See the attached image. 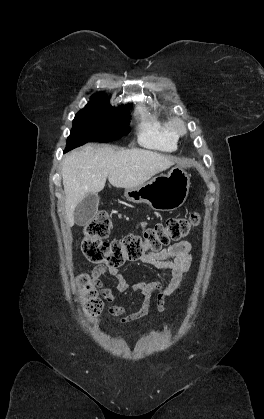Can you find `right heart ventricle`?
Here are the masks:
<instances>
[{
  "instance_id": "right-heart-ventricle-1",
  "label": "right heart ventricle",
  "mask_w": 264,
  "mask_h": 419,
  "mask_svg": "<svg viewBox=\"0 0 264 419\" xmlns=\"http://www.w3.org/2000/svg\"><path fill=\"white\" fill-rule=\"evenodd\" d=\"M169 120V117L156 107L144 108L138 129L139 143L160 151H173L177 140L170 130Z\"/></svg>"
}]
</instances>
